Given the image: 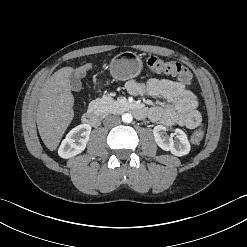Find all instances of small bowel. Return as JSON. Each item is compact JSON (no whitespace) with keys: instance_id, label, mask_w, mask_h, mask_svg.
Returning a JSON list of instances; mask_svg holds the SVG:
<instances>
[{"instance_id":"small-bowel-1","label":"small bowel","mask_w":247,"mask_h":247,"mask_svg":"<svg viewBox=\"0 0 247 247\" xmlns=\"http://www.w3.org/2000/svg\"><path fill=\"white\" fill-rule=\"evenodd\" d=\"M127 90L132 95L158 96L162 99V105L154 106L147 112L153 122L189 129L201 123V115L196 110V96L180 82L157 78L146 82L130 81Z\"/></svg>"}]
</instances>
